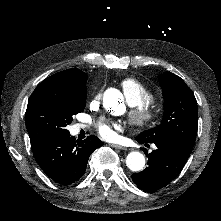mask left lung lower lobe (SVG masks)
I'll return each mask as SVG.
<instances>
[{
    "label": "left lung lower lobe",
    "instance_id": "1",
    "mask_svg": "<svg viewBox=\"0 0 221 221\" xmlns=\"http://www.w3.org/2000/svg\"><path fill=\"white\" fill-rule=\"evenodd\" d=\"M136 140L147 147L148 143H154L157 147L150 154L142 149L148 156V167L132 175L133 182L146 192H155L169 184L181 172L191 154L169 138L147 140L137 136Z\"/></svg>",
    "mask_w": 221,
    "mask_h": 221
}]
</instances>
